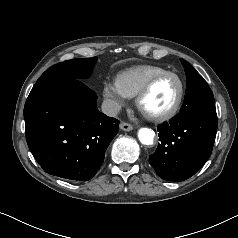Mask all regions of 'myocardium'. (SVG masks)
Wrapping results in <instances>:
<instances>
[{
	"label": "myocardium",
	"mask_w": 238,
	"mask_h": 238,
	"mask_svg": "<svg viewBox=\"0 0 238 238\" xmlns=\"http://www.w3.org/2000/svg\"><path fill=\"white\" fill-rule=\"evenodd\" d=\"M167 76H173L179 82V93H178V96H177L174 104L168 110H166L165 112L159 113V114H148V113L144 112L142 110V101L148 95V93L151 91V89L155 85V83L158 80H160L164 77H167ZM184 95H185V82H184L183 78L175 72L165 71V72L154 75L147 81V83L143 86V88L136 95L135 104H136L137 109L147 119L154 121V122H163V121H167V120L173 118L178 113V111L181 108V105H182V102L184 99Z\"/></svg>",
	"instance_id": "myocardium-1"
}]
</instances>
